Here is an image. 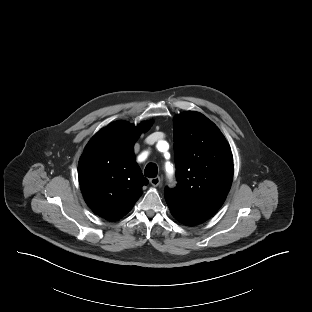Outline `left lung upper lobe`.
Here are the masks:
<instances>
[{
	"instance_id": "left-lung-upper-lobe-1",
	"label": "left lung upper lobe",
	"mask_w": 312,
	"mask_h": 312,
	"mask_svg": "<svg viewBox=\"0 0 312 312\" xmlns=\"http://www.w3.org/2000/svg\"><path fill=\"white\" fill-rule=\"evenodd\" d=\"M174 153L178 185L165 199L180 222L206 221L223 204L233 178V156L217 126L199 112L174 118Z\"/></svg>"
}]
</instances>
